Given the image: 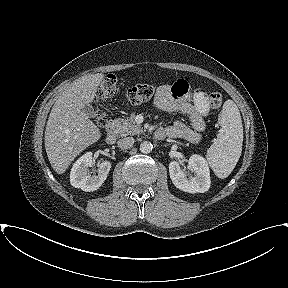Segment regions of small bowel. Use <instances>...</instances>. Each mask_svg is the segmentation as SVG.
<instances>
[{"mask_svg":"<svg viewBox=\"0 0 288 288\" xmlns=\"http://www.w3.org/2000/svg\"><path fill=\"white\" fill-rule=\"evenodd\" d=\"M153 106L162 111L181 112L187 115L191 127L181 121H176L172 126L161 128L169 137L183 138L192 143L201 139L205 130V118L210 111L208 95L200 88L190 92V81L181 77L172 84L160 85L157 89Z\"/></svg>","mask_w":288,"mask_h":288,"instance_id":"obj_1","label":"small bowel"}]
</instances>
